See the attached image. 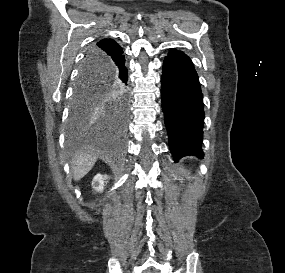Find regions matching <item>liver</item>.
Listing matches in <instances>:
<instances>
[{"label": "liver", "mask_w": 285, "mask_h": 273, "mask_svg": "<svg viewBox=\"0 0 285 273\" xmlns=\"http://www.w3.org/2000/svg\"><path fill=\"white\" fill-rule=\"evenodd\" d=\"M97 154L93 151L75 155L73 160V178L75 181L82 179L95 165Z\"/></svg>", "instance_id": "obj_1"}]
</instances>
